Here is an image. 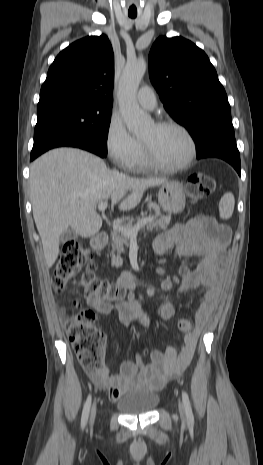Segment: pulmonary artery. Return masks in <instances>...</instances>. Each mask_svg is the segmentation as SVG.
Segmentation results:
<instances>
[{"label":"pulmonary artery","instance_id":"1","mask_svg":"<svg viewBox=\"0 0 263 465\" xmlns=\"http://www.w3.org/2000/svg\"><path fill=\"white\" fill-rule=\"evenodd\" d=\"M137 101L145 109L152 110L157 105L156 95L152 88L143 86L137 93Z\"/></svg>","mask_w":263,"mask_h":465}]
</instances>
